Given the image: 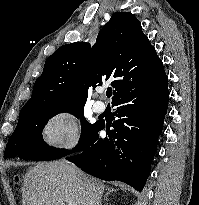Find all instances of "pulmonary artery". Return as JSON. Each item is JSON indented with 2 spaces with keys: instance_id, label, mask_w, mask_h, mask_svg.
<instances>
[{
  "instance_id": "e3ab8cb5",
  "label": "pulmonary artery",
  "mask_w": 199,
  "mask_h": 205,
  "mask_svg": "<svg viewBox=\"0 0 199 205\" xmlns=\"http://www.w3.org/2000/svg\"><path fill=\"white\" fill-rule=\"evenodd\" d=\"M93 107L94 111L97 113H103L106 110V104L102 101H96Z\"/></svg>"
}]
</instances>
